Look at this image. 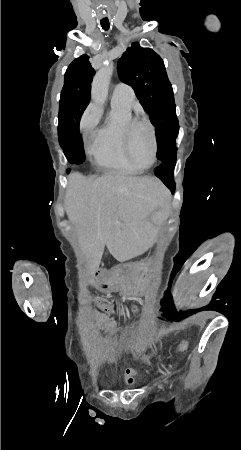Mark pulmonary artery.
Instances as JSON below:
<instances>
[{
  "mask_svg": "<svg viewBox=\"0 0 241 450\" xmlns=\"http://www.w3.org/2000/svg\"><path fill=\"white\" fill-rule=\"evenodd\" d=\"M134 99L133 91L130 87L126 86L123 89H120L119 86H117L112 94V102L113 101H119V102H125L128 104H132Z\"/></svg>",
  "mask_w": 241,
  "mask_h": 450,
  "instance_id": "obj_1",
  "label": "pulmonary artery"
}]
</instances>
